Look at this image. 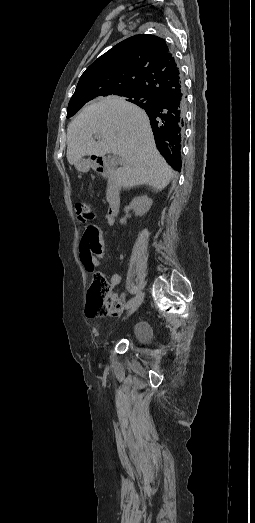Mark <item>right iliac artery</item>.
I'll use <instances>...</instances> for the list:
<instances>
[{"mask_svg":"<svg viewBox=\"0 0 255 523\" xmlns=\"http://www.w3.org/2000/svg\"><path fill=\"white\" fill-rule=\"evenodd\" d=\"M133 301H134V298L130 299V300L127 302V304H126V308H130V306L132 305Z\"/></svg>","mask_w":255,"mask_h":523,"instance_id":"obj_1","label":"right iliac artery"}]
</instances>
